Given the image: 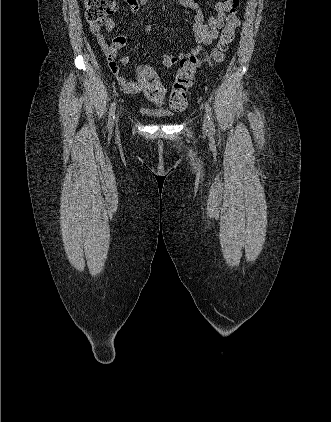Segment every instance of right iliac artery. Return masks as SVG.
Returning a JSON list of instances; mask_svg holds the SVG:
<instances>
[{"label": "right iliac artery", "instance_id": "right-iliac-artery-1", "mask_svg": "<svg viewBox=\"0 0 331 422\" xmlns=\"http://www.w3.org/2000/svg\"><path fill=\"white\" fill-rule=\"evenodd\" d=\"M115 109H116V102L114 101L109 110V119H108V128L111 129L113 126V121L115 118Z\"/></svg>", "mask_w": 331, "mask_h": 422}]
</instances>
